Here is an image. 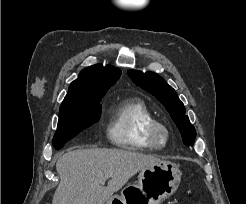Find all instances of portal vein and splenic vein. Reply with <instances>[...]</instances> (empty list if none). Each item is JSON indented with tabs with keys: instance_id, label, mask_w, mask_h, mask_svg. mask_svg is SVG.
<instances>
[{
	"instance_id": "obj_1",
	"label": "portal vein and splenic vein",
	"mask_w": 246,
	"mask_h": 204,
	"mask_svg": "<svg viewBox=\"0 0 246 204\" xmlns=\"http://www.w3.org/2000/svg\"><path fill=\"white\" fill-rule=\"evenodd\" d=\"M111 176V174H108L105 178L108 179Z\"/></svg>"
}]
</instances>
